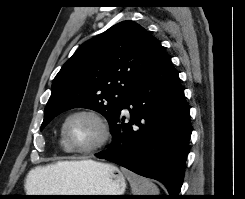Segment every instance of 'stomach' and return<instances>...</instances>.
Returning a JSON list of instances; mask_svg holds the SVG:
<instances>
[{"label":"stomach","mask_w":245,"mask_h":199,"mask_svg":"<svg viewBox=\"0 0 245 199\" xmlns=\"http://www.w3.org/2000/svg\"><path fill=\"white\" fill-rule=\"evenodd\" d=\"M67 190L48 195H123L126 178L116 166L92 162L74 170L66 182ZM103 196L51 197L49 199H102Z\"/></svg>","instance_id":"stomach-1"}]
</instances>
